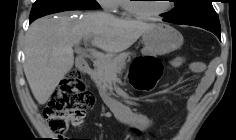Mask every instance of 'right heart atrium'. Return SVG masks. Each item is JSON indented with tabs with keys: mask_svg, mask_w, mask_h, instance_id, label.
<instances>
[{
	"mask_svg": "<svg viewBox=\"0 0 236 140\" xmlns=\"http://www.w3.org/2000/svg\"><path fill=\"white\" fill-rule=\"evenodd\" d=\"M102 8L107 12H114L117 10V5L115 0H99Z\"/></svg>",
	"mask_w": 236,
	"mask_h": 140,
	"instance_id": "obj_1",
	"label": "right heart atrium"
}]
</instances>
